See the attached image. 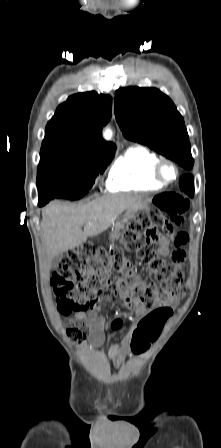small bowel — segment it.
<instances>
[{"label": "small bowel", "instance_id": "small-bowel-1", "mask_svg": "<svg viewBox=\"0 0 221 448\" xmlns=\"http://www.w3.org/2000/svg\"><path fill=\"white\" fill-rule=\"evenodd\" d=\"M188 240L189 235L184 230L177 231L170 236L160 237L159 252L164 256H169L176 266L181 267L185 257L184 246ZM171 244L174 246L173 250L170 249ZM116 294L121 297L124 307L135 308L136 318L138 320L141 321L152 313V310H148L130 300L128 289L124 285L123 280L117 279L110 281L106 291L98 298V302L88 310L77 312L70 321L71 325L84 324L85 328L91 334L90 342L92 346H99L104 341V330L109 323V318L106 315L100 314V311L102 306L112 300ZM122 322L121 319H116L112 322V327L118 329L122 326ZM136 329L137 326L132 324L124 338L120 342L110 346L108 356L115 366H122L130 353L139 355L148 349L150 341L147 342L145 347H141L138 350L133 348L132 335Z\"/></svg>", "mask_w": 221, "mask_h": 448}]
</instances>
